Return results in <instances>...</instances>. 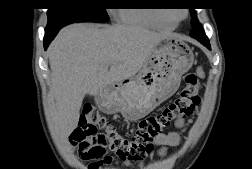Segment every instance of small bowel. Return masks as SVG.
Here are the masks:
<instances>
[{"label": "small bowel", "mask_w": 252, "mask_h": 169, "mask_svg": "<svg viewBox=\"0 0 252 169\" xmlns=\"http://www.w3.org/2000/svg\"><path fill=\"white\" fill-rule=\"evenodd\" d=\"M183 125H184L183 120H179L176 123L177 128H182ZM179 140H180L179 134L177 132L173 131V132H169L167 134H162L159 137H157L154 140V145L160 147V150H159L160 155H165L167 152V148L172 147V146H176L179 143ZM124 167H125V169H129L131 167V164L125 163Z\"/></svg>", "instance_id": "c3829d8e"}]
</instances>
